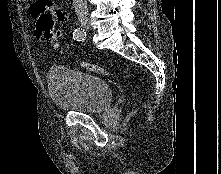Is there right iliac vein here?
<instances>
[{
	"instance_id": "right-iliac-vein-1",
	"label": "right iliac vein",
	"mask_w": 221,
	"mask_h": 174,
	"mask_svg": "<svg viewBox=\"0 0 221 174\" xmlns=\"http://www.w3.org/2000/svg\"><path fill=\"white\" fill-rule=\"evenodd\" d=\"M80 23L84 28L89 29V20L87 18H82Z\"/></svg>"
}]
</instances>
